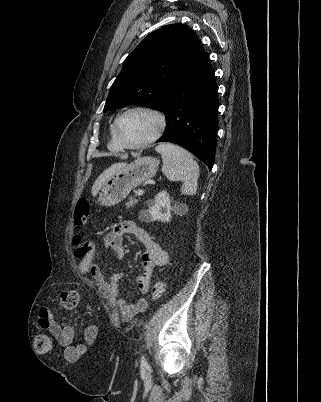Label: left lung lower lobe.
Listing matches in <instances>:
<instances>
[{
  "label": "left lung lower lobe",
  "instance_id": "left-lung-lower-lobe-1",
  "mask_svg": "<svg viewBox=\"0 0 321 402\" xmlns=\"http://www.w3.org/2000/svg\"><path fill=\"white\" fill-rule=\"evenodd\" d=\"M218 86L207 53L170 92L162 111L166 131L157 142L183 146L211 170L216 151Z\"/></svg>",
  "mask_w": 321,
  "mask_h": 402
}]
</instances>
